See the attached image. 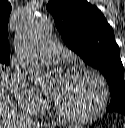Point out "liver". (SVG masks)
Instances as JSON below:
<instances>
[{
    "instance_id": "6515ba94",
    "label": "liver",
    "mask_w": 125,
    "mask_h": 128,
    "mask_svg": "<svg viewBox=\"0 0 125 128\" xmlns=\"http://www.w3.org/2000/svg\"><path fill=\"white\" fill-rule=\"evenodd\" d=\"M11 91V83L4 75L0 65V128L26 126L24 118L19 116L14 110Z\"/></svg>"
}]
</instances>
